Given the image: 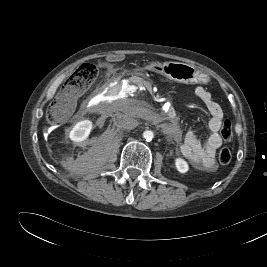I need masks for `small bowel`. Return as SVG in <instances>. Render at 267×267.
Here are the masks:
<instances>
[{"label":"small bowel","instance_id":"c3829d8e","mask_svg":"<svg viewBox=\"0 0 267 267\" xmlns=\"http://www.w3.org/2000/svg\"><path fill=\"white\" fill-rule=\"evenodd\" d=\"M194 94L210 114L208 126L211 134L205 141H202L194 130L188 131L181 146V153L195 167L211 171L216 168L215 154L222 145L219 131L223 123V110L205 87L197 86Z\"/></svg>","mask_w":267,"mask_h":267}]
</instances>
